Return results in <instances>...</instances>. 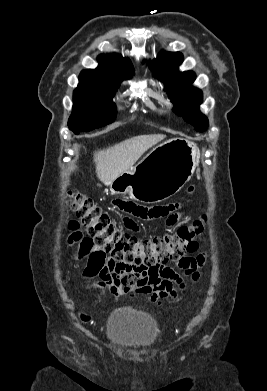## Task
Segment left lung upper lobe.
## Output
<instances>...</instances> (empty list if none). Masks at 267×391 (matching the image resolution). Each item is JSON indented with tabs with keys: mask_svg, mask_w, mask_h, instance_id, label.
Instances as JSON below:
<instances>
[{
	"mask_svg": "<svg viewBox=\"0 0 267 391\" xmlns=\"http://www.w3.org/2000/svg\"><path fill=\"white\" fill-rule=\"evenodd\" d=\"M182 62L183 56L179 52L162 53L151 63V69L164 81L165 90L175 104L173 111L183 116L197 131H203L208 126V119L199 110L202 92L199 89H192L191 84L196 78L194 72L178 71Z\"/></svg>",
	"mask_w": 267,
	"mask_h": 391,
	"instance_id": "5c2ea615",
	"label": "left lung upper lobe"
}]
</instances>
